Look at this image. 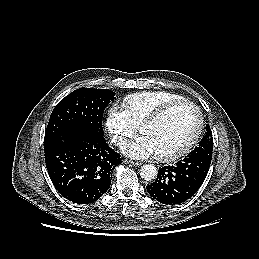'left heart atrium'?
Segmentation results:
<instances>
[{"label":"left heart atrium","mask_w":259,"mask_h":259,"mask_svg":"<svg viewBox=\"0 0 259 259\" xmlns=\"http://www.w3.org/2000/svg\"><path fill=\"white\" fill-rule=\"evenodd\" d=\"M122 151L135 159H145L156 156V151L151 141L144 135L124 144Z\"/></svg>","instance_id":"39dd6f15"}]
</instances>
